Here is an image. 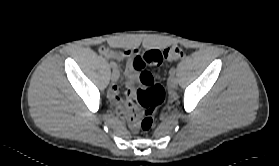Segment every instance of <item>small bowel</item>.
I'll return each mask as SVG.
<instances>
[{"mask_svg":"<svg viewBox=\"0 0 279 166\" xmlns=\"http://www.w3.org/2000/svg\"><path fill=\"white\" fill-rule=\"evenodd\" d=\"M100 52L108 57V58H113L117 60H125L131 58V56L134 54V50L127 49L124 51L120 50H114L108 47H103L100 49ZM125 73L127 77L129 78V81L126 84L127 88V101L129 103H134L137 100V95L133 91V86L136 82V74L135 70L131 65H128L126 67ZM108 96L110 100L120 109H122L128 116L130 123L132 127H136L137 124V113H136V108L133 105H128L126 104L122 98L119 95V89L117 85L111 86V88L108 91Z\"/></svg>","mask_w":279,"mask_h":166,"instance_id":"obj_1","label":"small bowel"}]
</instances>
